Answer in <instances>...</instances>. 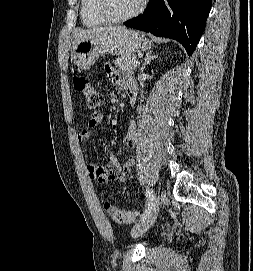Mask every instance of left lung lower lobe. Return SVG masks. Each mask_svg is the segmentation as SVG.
Returning a JSON list of instances; mask_svg holds the SVG:
<instances>
[{"label":"left lung lower lobe","instance_id":"left-lung-lower-lobe-1","mask_svg":"<svg viewBox=\"0 0 253 271\" xmlns=\"http://www.w3.org/2000/svg\"><path fill=\"white\" fill-rule=\"evenodd\" d=\"M212 0H151L146 11L125 25L179 41L190 56L205 29Z\"/></svg>","mask_w":253,"mask_h":271}]
</instances>
